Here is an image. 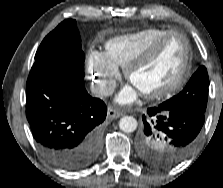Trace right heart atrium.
Instances as JSON below:
<instances>
[{
  "mask_svg": "<svg viewBox=\"0 0 223 188\" xmlns=\"http://www.w3.org/2000/svg\"><path fill=\"white\" fill-rule=\"evenodd\" d=\"M86 69L94 91L98 95L106 96L112 93L119 78V71L103 52H90Z\"/></svg>",
  "mask_w": 223,
  "mask_h": 188,
  "instance_id": "1",
  "label": "right heart atrium"
}]
</instances>
